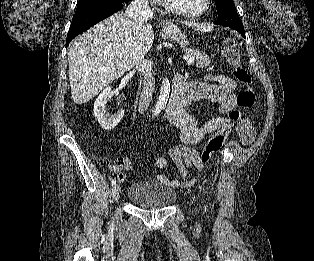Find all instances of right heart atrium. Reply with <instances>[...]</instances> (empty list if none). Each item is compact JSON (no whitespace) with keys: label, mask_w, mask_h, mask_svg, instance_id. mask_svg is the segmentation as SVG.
Listing matches in <instances>:
<instances>
[{"label":"right heart atrium","mask_w":314,"mask_h":261,"mask_svg":"<svg viewBox=\"0 0 314 261\" xmlns=\"http://www.w3.org/2000/svg\"><path fill=\"white\" fill-rule=\"evenodd\" d=\"M145 3H157L159 0H140Z\"/></svg>","instance_id":"right-heart-atrium-1"}]
</instances>
